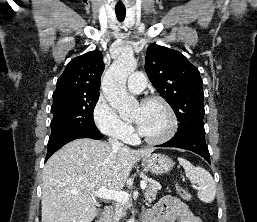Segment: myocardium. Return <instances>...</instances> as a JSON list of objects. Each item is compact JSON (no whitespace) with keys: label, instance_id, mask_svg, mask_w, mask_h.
I'll return each mask as SVG.
<instances>
[{"label":"myocardium","instance_id":"1","mask_svg":"<svg viewBox=\"0 0 257 222\" xmlns=\"http://www.w3.org/2000/svg\"><path fill=\"white\" fill-rule=\"evenodd\" d=\"M154 102L160 103L166 109L170 120L168 130L163 135L155 138L143 136L142 134L139 133V131H137L136 136L138 139L142 140L147 144L160 145V144L166 143L167 141L173 138L178 128V119L171 104L161 96L146 97L141 101L140 105H146Z\"/></svg>","mask_w":257,"mask_h":222}]
</instances>
